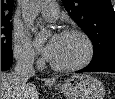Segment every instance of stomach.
Listing matches in <instances>:
<instances>
[{
  "label": "stomach",
  "mask_w": 115,
  "mask_h": 99,
  "mask_svg": "<svg viewBox=\"0 0 115 99\" xmlns=\"http://www.w3.org/2000/svg\"><path fill=\"white\" fill-rule=\"evenodd\" d=\"M60 89L66 99H103L105 95L102 82L87 74L71 76Z\"/></svg>",
  "instance_id": "0dacf381"
}]
</instances>
